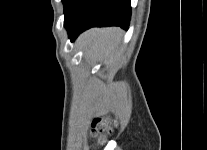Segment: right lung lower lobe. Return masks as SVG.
I'll list each match as a JSON object with an SVG mask.
<instances>
[{
    "label": "right lung lower lobe",
    "mask_w": 207,
    "mask_h": 150,
    "mask_svg": "<svg viewBox=\"0 0 207 150\" xmlns=\"http://www.w3.org/2000/svg\"><path fill=\"white\" fill-rule=\"evenodd\" d=\"M64 26L69 38L74 40L91 27H129L130 0H73L64 10Z\"/></svg>",
    "instance_id": "98d812e1"
}]
</instances>
